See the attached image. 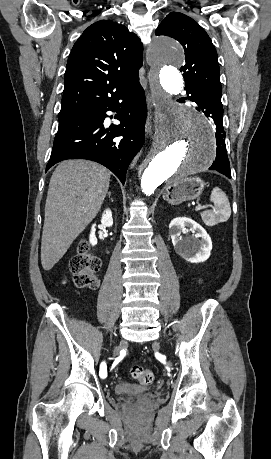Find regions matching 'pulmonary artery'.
I'll return each instance as SVG.
<instances>
[{"instance_id":"obj_1","label":"pulmonary artery","mask_w":271,"mask_h":459,"mask_svg":"<svg viewBox=\"0 0 271 459\" xmlns=\"http://www.w3.org/2000/svg\"><path fill=\"white\" fill-rule=\"evenodd\" d=\"M186 103H187V104H190V105H193V104L195 103V100H194L193 98H190V99H187V100H186ZM194 107H195L196 109H200V108L202 107V104H201L200 102H196V103L194 104Z\"/></svg>"}]
</instances>
